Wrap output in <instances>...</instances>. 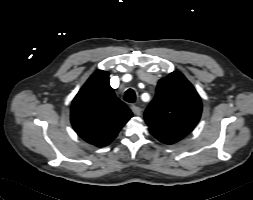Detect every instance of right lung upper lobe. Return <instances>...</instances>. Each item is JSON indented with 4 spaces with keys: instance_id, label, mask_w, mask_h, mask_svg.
<instances>
[{
    "instance_id": "1",
    "label": "right lung upper lobe",
    "mask_w": 253,
    "mask_h": 200,
    "mask_svg": "<svg viewBox=\"0 0 253 200\" xmlns=\"http://www.w3.org/2000/svg\"><path fill=\"white\" fill-rule=\"evenodd\" d=\"M106 71H96L72 102L71 123L77 134L97 147L108 145L132 117L114 94Z\"/></svg>"
}]
</instances>
